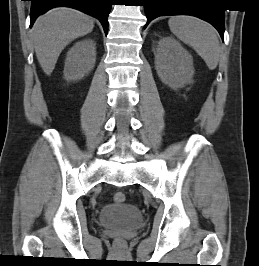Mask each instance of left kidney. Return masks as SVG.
<instances>
[{"label":"left kidney","mask_w":259,"mask_h":266,"mask_svg":"<svg viewBox=\"0 0 259 266\" xmlns=\"http://www.w3.org/2000/svg\"><path fill=\"white\" fill-rule=\"evenodd\" d=\"M155 68L161 81L173 89L190 83L194 74L192 56L172 36L159 40Z\"/></svg>","instance_id":"left-kidney-1"}]
</instances>
